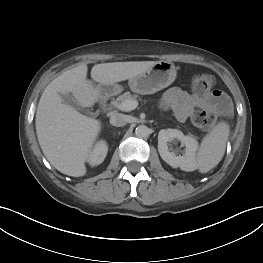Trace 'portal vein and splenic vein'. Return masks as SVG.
Instances as JSON below:
<instances>
[{
  "label": "portal vein and splenic vein",
  "instance_id": "obj_1",
  "mask_svg": "<svg viewBox=\"0 0 263 263\" xmlns=\"http://www.w3.org/2000/svg\"><path fill=\"white\" fill-rule=\"evenodd\" d=\"M137 106L138 102L136 100H126L118 105V108L123 111H131L134 110Z\"/></svg>",
  "mask_w": 263,
  "mask_h": 263
}]
</instances>
